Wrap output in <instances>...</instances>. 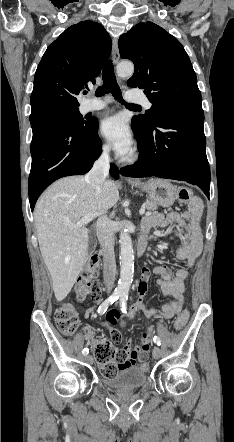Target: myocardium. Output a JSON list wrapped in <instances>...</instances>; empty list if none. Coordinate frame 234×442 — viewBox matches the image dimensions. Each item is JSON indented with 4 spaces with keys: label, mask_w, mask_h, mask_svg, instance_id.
Segmentation results:
<instances>
[{
    "label": "myocardium",
    "mask_w": 234,
    "mask_h": 442,
    "mask_svg": "<svg viewBox=\"0 0 234 442\" xmlns=\"http://www.w3.org/2000/svg\"><path fill=\"white\" fill-rule=\"evenodd\" d=\"M138 159V154L137 153H133L130 156H128L124 162L126 164H133L134 162H136V160Z\"/></svg>",
    "instance_id": "f54148a6"
}]
</instances>
